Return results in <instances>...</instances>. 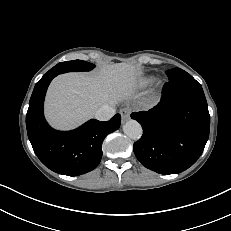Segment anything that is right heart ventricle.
I'll return each instance as SVG.
<instances>
[{
  "label": "right heart ventricle",
  "mask_w": 231,
  "mask_h": 231,
  "mask_svg": "<svg viewBox=\"0 0 231 231\" xmlns=\"http://www.w3.org/2000/svg\"><path fill=\"white\" fill-rule=\"evenodd\" d=\"M153 81V78L152 77H144L142 79H140L138 81V86L141 87V88H144V87H147L148 85H150Z\"/></svg>",
  "instance_id": "e07e8e85"
}]
</instances>
